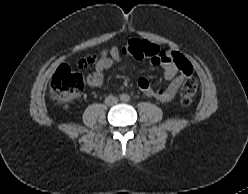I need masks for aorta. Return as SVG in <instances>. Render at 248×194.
<instances>
[{"instance_id": "obj_1", "label": "aorta", "mask_w": 248, "mask_h": 194, "mask_svg": "<svg viewBox=\"0 0 248 194\" xmlns=\"http://www.w3.org/2000/svg\"><path fill=\"white\" fill-rule=\"evenodd\" d=\"M121 101L128 102L130 100V96L128 94H122L120 96Z\"/></svg>"}]
</instances>
